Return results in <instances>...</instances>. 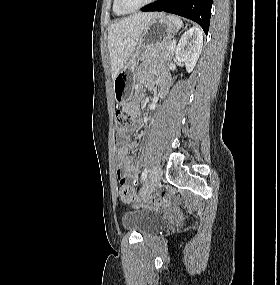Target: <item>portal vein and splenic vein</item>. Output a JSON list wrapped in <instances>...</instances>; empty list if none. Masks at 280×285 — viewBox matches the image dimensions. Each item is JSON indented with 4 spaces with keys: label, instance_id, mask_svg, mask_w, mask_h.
Instances as JSON below:
<instances>
[{
    "label": "portal vein and splenic vein",
    "instance_id": "18ae733b",
    "mask_svg": "<svg viewBox=\"0 0 280 285\" xmlns=\"http://www.w3.org/2000/svg\"><path fill=\"white\" fill-rule=\"evenodd\" d=\"M170 49L174 50L175 49V44H171Z\"/></svg>",
    "mask_w": 280,
    "mask_h": 285
}]
</instances>
